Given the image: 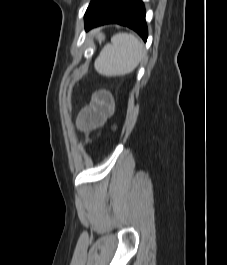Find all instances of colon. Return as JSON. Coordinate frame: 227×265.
Segmentation results:
<instances>
[{"mask_svg": "<svg viewBox=\"0 0 227 265\" xmlns=\"http://www.w3.org/2000/svg\"><path fill=\"white\" fill-rule=\"evenodd\" d=\"M118 129H119L118 125H114V126H113V130H114L115 132L118 131Z\"/></svg>", "mask_w": 227, "mask_h": 265, "instance_id": "1", "label": "colon"}]
</instances>
